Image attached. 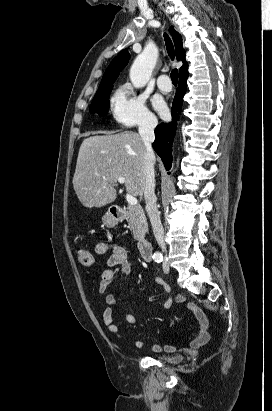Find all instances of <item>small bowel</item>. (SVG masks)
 I'll list each match as a JSON object with an SVG mask.
<instances>
[{"mask_svg":"<svg viewBox=\"0 0 272 411\" xmlns=\"http://www.w3.org/2000/svg\"><path fill=\"white\" fill-rule=\"evenodd\" d=\"M95 251L100 255L110 253L107 260V268L102 273L98 291L100 294L104 295L105 302L107 304L102 314L103 322L111 334H119V327L114 323L113 310L115 308H119L120 305L115 296L108 293L107 290L118 277L129 276L133 270L134 263L129 259L127 249L118 243L99 241L95 245ZM154 280L156 283L163 285L165 291L168 293V298L163 303V309L168 310L173 303V297L170 294V290L168 286L163 283L162 279L157 277ZM175 299L180 303L185 302V299L180 295H177ZM186 307L195 314L200 324L198 336L191 341L188 349L189 351H195L199 347L205 345L210 339L208 333V320L202 310L195 304L188 303ZM124 318L125 321L131 325H136L139 322L138 319L131 313H126ZM135 344L139 349L146 346V342L144 340H137ZM151 348L154 352H160L162 350L168 353L175 352V348L170 345H164L161 347L158 344H152Z\"/></svg>","mask_w":272,"mask_h":411,"instance_id":"1","label":"small bowel"}]
</instances>
